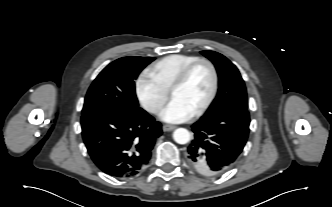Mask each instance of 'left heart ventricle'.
<instances>
[{
  "label": "left heart ventricle",
  "mask_w": 332,
  "mask_h": 207,
  "mask_svg": "<svg viewBox=\"0 0 332 207\" xmlns=\"http://www.w3.org/2000/svg\"><path fill=\"white\" fill-rule=\"evenodd\" d=\"M212 86V75L205 64L196 66L186 82L171 93L172 99L180 100L195 112L208 97Z\"/></svg>",
  "instance_id": "b2bd125f"
}]
</instances>
